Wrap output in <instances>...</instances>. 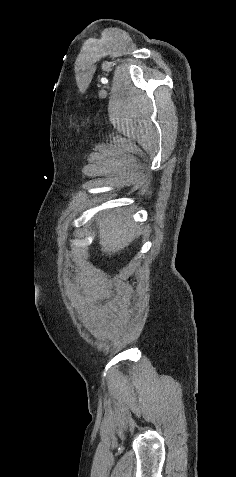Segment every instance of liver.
Listing matches in <instances>:
<instances>
[{"label": "liver", "instance_id": "obj_1", "mask_svg": "<svg viewBox=\"0 0 236 477\" xmlns=\"http://www.w3.org/2000/svg\"><path fill=\"white\" fill-rule=\"evenodd\" d=\"M128 218V215L118 216L112 212L99 218V243L102 252L109 256L119 253L133 241L135 228Z\"/></svg>", "mask_w": 236, "mask_h": 477}]
</instances>
